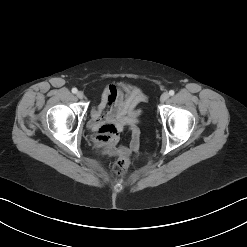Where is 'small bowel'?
Listing matches in <instances>:
<instances>
[{"label":"small bowel","mask_w":247,"mask_h":247,"mask_svg":"<svg viewBox=\"0 0 247 247\" xmlns=\"http://www.w3.org/2000/svg\"><path fill=\"white\" fill-rule=\"evenodd\" d=\"M142 91L129 84H110L101 96L100 103L91 111L89 128L95 132V143L106 156L126 157L139 151L137 125L141 110L137 104L146 101ZM131 130L129 146H118L120 133Z\"/></svg>","instance_id":"obj_1"}]
</instances>
